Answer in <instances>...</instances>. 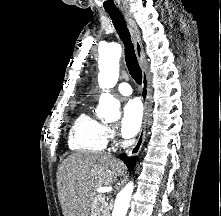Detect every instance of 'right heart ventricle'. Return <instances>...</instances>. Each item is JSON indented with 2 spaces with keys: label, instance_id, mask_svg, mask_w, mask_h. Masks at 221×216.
I'll return each mask as SVG.
<instances>
[{
  "label": "right heart ventricle",
  "instance_id": "e07e8e85",
  "mask_svg": "<svg viewBox=\"0 0 221 216\" xmlns=\"http://www.w3.org/2000/svg\"><path fill=\"white\" fill-rule=\"evenodd\" d=\"M106 125L88 113H81L68 135L70 149L81 152H98L107 144Z\"/></svg>",
  "mask_w": 221,
  "mask_h": 216
}]
</instances>
